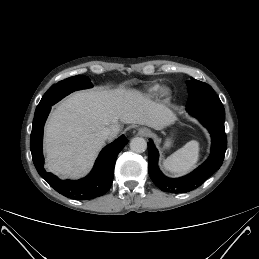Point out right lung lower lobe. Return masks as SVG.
Here are the masks:
<instances>
[{"label": "right lung lower lobe", "instance_id": "98d812e1", "mask_svg": "<svg viewBox=\"0 0 259 259\" xmlns=\"http://www.w3.org/2000/svg\"><path fill=\"white\" fill-rule=\"evenodd\" d=\"M51 106L35 111L30 138L32 159L39 175L48 184L62 195L76 200H90L105 194L111 187L114 177L116 158L123 147L128 143L122 135L107 145L99 154L92 172L85 178L77 181H62L43 167L42 154L43 127L50 112Z\"/></svg>", "mask_w": 259, "mask_h": 259}]
</instances>
